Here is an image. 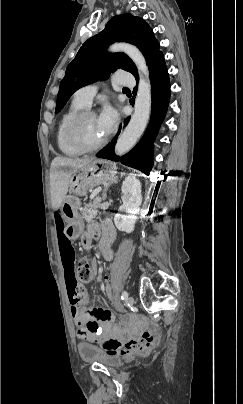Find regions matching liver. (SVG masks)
<instances>
[{"mask_svg": "<svg viewBox=\"0 0 243 404\" xmlns=\"http://www.w3.org/2000/svg\"><path fill=\"white\" fill-rule=\"evenodd\" d=\"M94 158H54L50 166L51 206L54 210L60 208L69 188L72 170L85 168Z\"/></svg>", "mask_w": 243, "mask_h": 404, "instance_id": "1", "label": "liver"}]
</instances>
